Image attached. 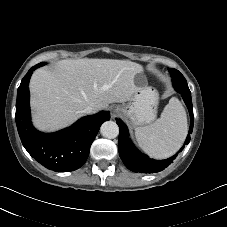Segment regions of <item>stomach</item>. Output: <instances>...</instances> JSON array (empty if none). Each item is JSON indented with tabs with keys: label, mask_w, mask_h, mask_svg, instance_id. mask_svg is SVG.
<instances>
[{
	"label": "stomach",
	"mask_w": 227,
	"mask_h": 227,
	"mask_svg": "<svg viewBox=\"0 0 227 227\" xmlns=\"http://www.w3.org/2000/svg\"><path fill=\"white\" fill-rule=\"evenodd\" d=\"M135 84L138 90L128 103L119 106V109L123 115L130 118L134 126H142L156 118L158 93L147 86L144 78H136Z\"/></svg>",
	"instance_id": "stomach-1"
}]
</instances>
